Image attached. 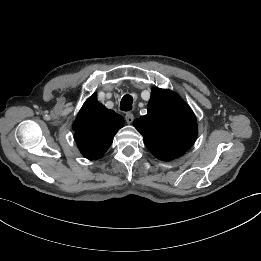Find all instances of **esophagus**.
I'll return each mask as SVG.
<instances>
[{
	"label": "esophagus",
	"mask_w": 261,
	"mask_h": 261,
	"mask_svg": "<svg viewBox=\"0 0 261 261\" xmlns=\"http://www.w3.org/2000/svg\"><path fill=\"white\" fill-rule=\"evenodd\" d=\"M125 120H126V122H127L128 124H131V123L133 122V120H134L133 114H132V113H127V114L125 115Z\"/></svg>",
	"instance_id": "obj_1"
}]
</instances>
